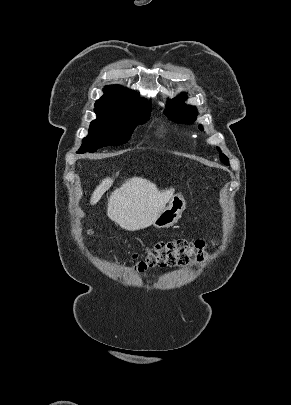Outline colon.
<instances>
[{
    "label": "colon",
    "mask_w": 291,
    "mask_h": 405,
    "mask_svg": "<svg viewBox=\"0 0 291 405\" xmlns=\"http://www.w3.org/2000/svg\"><path fill=\"white\" fill-rule=\"evenodd\" d=\"M208 247L209 244L202 239L160 241L148 248L143 258L133 256L137 259L135 269L144 271L152 267L185 266L194 260L202 261L208 254Z\"/></svg>",
    "instance_id": "obj_1"
}]
</instances>
